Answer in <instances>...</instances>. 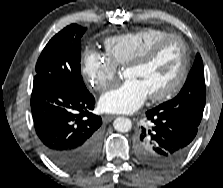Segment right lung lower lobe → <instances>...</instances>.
<instances>
[{"instance_id":"obj_1","label":"right lung lower lobe","mask_w":223,"mask_h":188,"mask_svg":"<svg viewBox=\"0 0 223 188\" xmlns=\"http://www.w3.org/2000/svg\"><path fill=\"white\" fill-rule=\"evenodd\" d=\"M95 98L65 87L33 83L31 110L41 146L59 168L76 172L88 168L101 150L100 116L94 115Z\"/></svg>"}]
</instances>
